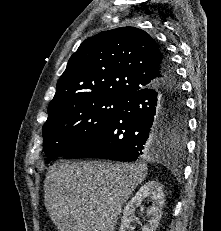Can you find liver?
Segmentation results:
<instances>
[{"label": "liver", "mask_w": 221, "mask_h": 231, "mask_svg": "<svg viewBox=\"0 0 221 231\" xmlns=\"http://www.w3.org/2000/svg\"><path fill=\"white\" fill-rule=\"evenodd\" d=\"M147 174L142 163L57 162L44 181L46 210L59 231H114Z\"/></svg>", "instance_id": "6515ba94"}]
</instances>
